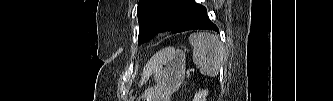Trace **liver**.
<instances>
[{"mask_svg":"<svg viewBox=\"0 0 333 101\" xmlns=\"http://www.w3.org/2000/svg\"><path fill=\"white\" fill-rule=\"evenodd\" d=\"M159 66L158 54H156L145 66L143 70V75L140 81L142 85L157 69Z\"/></svg>","mask_w":333,"mask_h":101,"instance_id":"liver-1","label":"liver"}]
</instances>
